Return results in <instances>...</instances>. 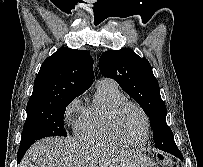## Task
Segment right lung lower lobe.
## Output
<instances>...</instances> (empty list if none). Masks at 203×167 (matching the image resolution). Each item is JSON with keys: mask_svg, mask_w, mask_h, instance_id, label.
Instances as JSON below:
<instances>
[{"mask_svg": "<svg viewBox=\"0 0 203 167\" xmlns=\"http://www.w3.org/2000/svg\"><path fill=\"white\" fill-rule=\"evenodd\" d=\"M32 144H33V143L20 145L19 150H18V160H17L18 163L21 161V159H22V157L24 156L25 152L27 151V149H28Z\"/></svg>", "mask_w": 203, "mask_h": 167, "instance_id": "right-lung-lower-lobe-1", "label": "right lung lower lobe"}]
</instances>
